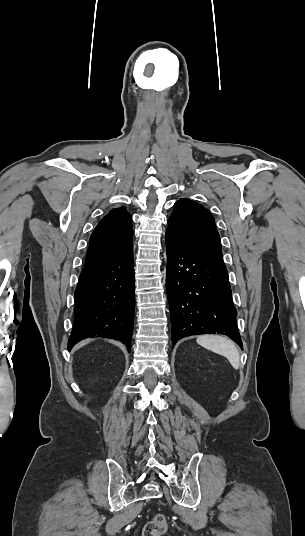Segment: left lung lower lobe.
<instances>
[{
    "mask_svg": "<svg viewBox=\"0 0 305 536\" xmlns=\"http://www.w3.org/2000/svg\"><path fill=\"white\" fill-rule=\"evenodd\" d=\"M166 247L173 346L190 335L220 333L243 349L222 255L188 248L168 235Z\"/></svg>",
    "mask_w": 305,
    "mask_h": 536,
    "instance_id": "left-lung-lower-lobe-1",
    "label": "left lung lower lobe"
}]
</instances>
